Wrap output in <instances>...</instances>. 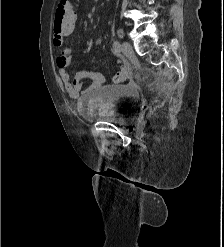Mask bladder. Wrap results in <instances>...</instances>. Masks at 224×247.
Wrapping results in <instances>:
<instances>
[{
    "instance_id": "bladder-1",
    "label": "bladder",
    "mask_w": 224,
    "mask_h": 247,
    "mask_svg": "<svg viewBox=\"0 0 224 247\" xmlns=\"http://www.w3.org/2000/svg\"><path fill=\"white\" fill-rule=\"evenodd\" d=\"M139 101V92L132 86H101L88 102L87 117L92 121L127 126L133 123L137 116Z\"/></svg>"
}]
</instances>
